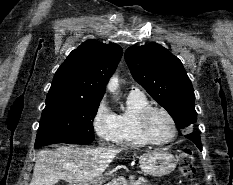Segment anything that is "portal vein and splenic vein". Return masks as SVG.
<instances>
[{"instance_id":"1","label":"portal vein and splenic vein","mask_w":233,"mask_h":185,"mask_svg":"<svg viewBox=\"0 0 233 185\" xmlns=\"http://www.w3.org/2000/svg\"><path fill=\"white\" fill-rule=\"evenodd\" d=\"M65 169H69V168H76L75 165H69V164H66L63 166Z\"/></svg>"}]
</instances>
